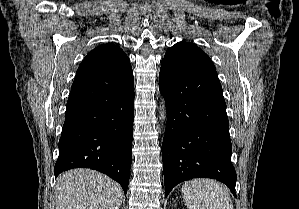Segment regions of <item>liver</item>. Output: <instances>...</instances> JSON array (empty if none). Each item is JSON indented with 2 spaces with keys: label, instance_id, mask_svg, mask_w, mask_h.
Returning <instances> with one entry per match:
<instances>
[{
  "label": "liver",
  "instance_id": "1",
  "mask_svg": "<svg viewBox=\"0 0 299 209\" xmlns=\"http://www.w3.org/2000/svg\"><path fill=\"white\" fill-rule=\"evenodd\" d=\"M124 192L104 174L74 169L57 178L56 209H120Z\"/></svg>",
  "mask_w": 299,
  "mask_h": 209
}]
</instances>
